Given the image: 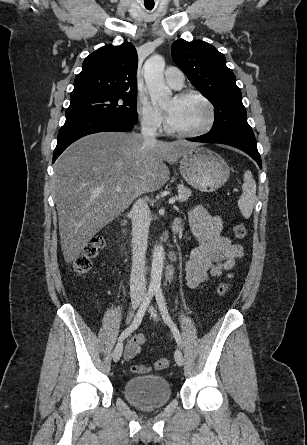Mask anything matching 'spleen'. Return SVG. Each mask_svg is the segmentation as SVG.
Returning a JSON list of instances; mask_svg holds the SVG:
<instances>
[{"label": "spleen", "mask_w": 307, "mask_h": 445, "mask_svg": "<svg viewBox=\"0 0 307 445\" xmlns=\"http://www.w3.org/2000/svg\"><path fill=\"white\" fill-rule=\"evenodd\" d=\"M243 178V192L238 200V206L243 216H245V218H249L256 202V182L253 178L251 170H245Z\"/></svg>", "instance_id": "obj_1"}]
</instances>
